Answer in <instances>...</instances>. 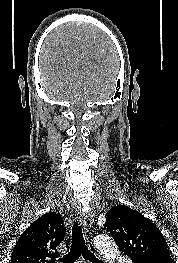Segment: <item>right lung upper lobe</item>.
Wrapping results in <instances>:
<instances>
[{
	"label": "right lung upper lobe",
	"instance_id": "cb5924a9",
	"mask_svg": "<svg viewBox=\"0 0 178 263\" xmlns=\"http://www.w3.org/2000/svg\"><path fill=\"white\" fill-rule=\"evenodd\" d=\"M61 215L46 213L20 235L11 255V263H53L60 255L56 247L64 240Z\"/></svg>",
	"mask_w": 178,
	"mask_h": 263
}]
</instances>
